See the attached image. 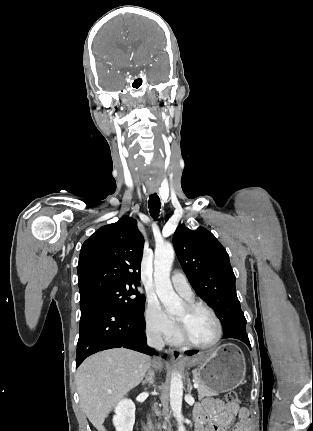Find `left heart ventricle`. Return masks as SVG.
I'll return each mask as SVG.
<instances>
[{"instance_id":"1","label":"left heart ventricle","mask_w":313,"mask_h":431,"mask_svg":"<svg viewBox=\"0 0 313 431\" xmlns=\"http://www.w3.org/2000/svg\"><path fill=\"white\" fill-rule=\"evenodd\" d=\"M174 316L175 318L186 320V333L193 342L208 344L216 338L217 325L209 312L198 310L187 316L183 306Z\"/></svg>"}]
</instances>
